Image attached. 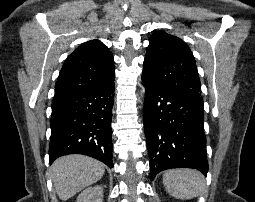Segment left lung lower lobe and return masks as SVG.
I'll use <instances>...</instances> for the list:
<instances>
[{"label":"left lung lower lobe","mask_w":255,"mask_h":202,"mask_svg":"<svg viewBox=\"0 0 255 202\" xmlns=\"http://www.w3.org/2000/svg\"><path fill=\"white\" fill-rule=\"evenodd\" d=\"M146 88L144 129L151 179L163 170L194 168L208 172L203 99L158 87L143 78Z\"/></svg>","instance_id":"left-lung-lower-lobe-1"}]
</instances>
